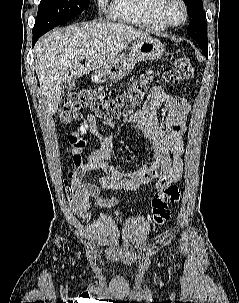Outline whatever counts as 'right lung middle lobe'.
<instances>
[{
  "label": "right lung middle lobe",
  "instance_id": "obj_1",
  "mask_svg": "<svg viewBox=\"0 0 239 303\" xmlns=\"http://www.w3.org/2000/svg\"><path fill=\"white\" fill-rule=\"evenodd\" d=\"M90 0H41L33 31H49L88 9Z\"/></svg>",
  "mask_w": 239,
  "mask_h": 303
}]
</instances>
